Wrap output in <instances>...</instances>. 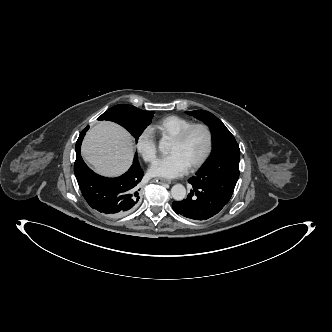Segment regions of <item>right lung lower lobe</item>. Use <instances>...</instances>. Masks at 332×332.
Segmentation results:
<instances>
[{"label": "right lung lower lobe", "instance_id": "98d812e1", "mask_svg": "<svg viewBox=\"0 0 332 332\" xmlns=\"http://www.w3.org/2000/svg\"><path fill=\"white\" fill-rule=\"evenodd\" d=\"M87 126L76 142L74 173L81 192L90 207L109 217H121L131 213L140 201L138 184L143 170L138 160L120 177L106 178L95 174L84 163L80 155L83 137Z\"/></svg>", "mask_w": 332, "mask_h": 332}]
</instances>
